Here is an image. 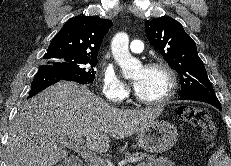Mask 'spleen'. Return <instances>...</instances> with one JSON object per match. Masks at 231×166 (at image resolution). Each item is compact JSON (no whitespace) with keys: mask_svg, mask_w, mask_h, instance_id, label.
<instances>
[{"mask_svg":"<svg viewBox=\"0 0 231 166\" xmlns=\"http://www.w3.org/2000/svg\"><path fill=\"white\" fill-rule=\"evenodd\" d=\"M208 166H231V159L225 153L223 145L211 156Z\"/></svg>","mask_w":231,"mask_h":166,"instance_id":"obj_1","label":"spleen"}]
</instances>
